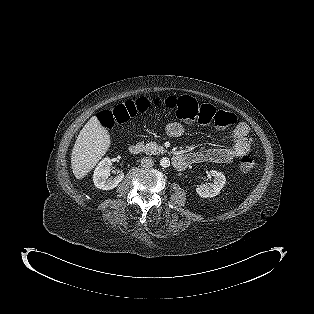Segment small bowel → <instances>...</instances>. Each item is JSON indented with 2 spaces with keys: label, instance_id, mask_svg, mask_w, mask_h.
Masks as SVG:
<instances>
[{
  "label": "small bowel",
  "instance_id": "1",
  "mask_svg": "<svg viewBox=\"0 0 314 314\" xmlns=\"http://www.w3.org/2000/svg\"><path fill=\"white\" fill-rule=\"evenodd\" d=\"M185 131L180 122H171L165 126V133L169 137H179ZM251 140L249 128L245 123H239L233 134L232 144L227 148H208L188 154L192 159L191 163H216L231 164L239 157L249 152Z\"/></svg>",
  "mask_w": 314,
  "mask_h": 314
}]
</instances>
